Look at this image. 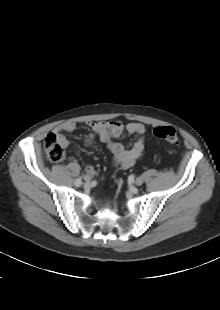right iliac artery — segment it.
<instances>
[{
  "mask_svg": "<svg viewBox=\"0 0 220 310\" xmlns=\"http://www.w3.org/2000/svg\"><path fill=\"white\" fill-rule=\"evenodd\" d=\"M81 183H82L81 178H80V177L77 178L76 181H75V185H76L77 187H79V186L81 185Z\"/></svg>",
  "mask_w": 220,
  "mask_h": 310,
  "instance_id": "1",
  "label": "right iliac artery"
}]
</instances>
